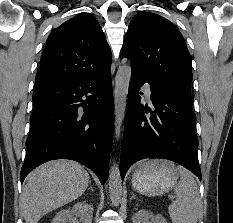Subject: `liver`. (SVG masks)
<instances>
[{"mask_svg": "<svg viewBox=\"0 0 233 223\" xmlns=\"http://www.w3.org/2000/svg\"><path fill=\"white\" fill-rule=\"evenodd\" d=\"M27 179L20 207L26 223H38L48 211L80 197L90 175L77 161L54 159L33 169Z\"/></svg>", "mask_w": 233, "mask_h": 223, "instance_id": "6515ba94", "label": "liver"}]
</instances>
